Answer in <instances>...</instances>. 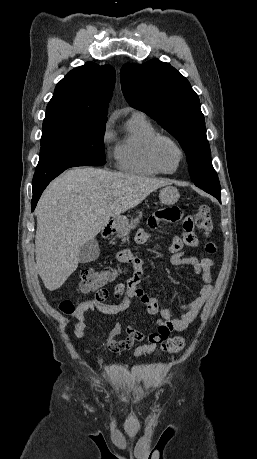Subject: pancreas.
Segmentation results:
<instances>
[{
    "instance_id": "pancreas-1",
    "label": "pancreas",
    "mask_w": 257,
    "mask_h": 459,
    "mask_svg": "<svg viewBox=\"0 0 257 459\" xmlns=\"http://www.w3.org/2000/svg\"><path fill=\"white\" fill-rule=\"evenodd\" d=\"M142 217V213L139 214V217L131 220L130 224L120 233V236L125 237L129 234L130 230L134 229L136 225L139 223L140 218Z\"/></svg>"
}]
</instances>
